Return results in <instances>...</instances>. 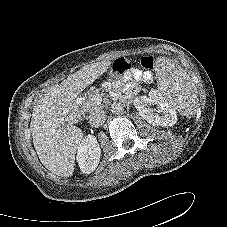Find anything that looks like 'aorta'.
Masks as SVG:
<instances>
[{
	"label": "aorta",
	"mask_w": 227,
	"mask_h": 227,
	"mask_svg": "<svg viewBox=\"0 0 227 227\" xmlns=\"http://www.w3.org/2000/svg\"><path fill=\"white\" fill-rule=\"evenodd\" d=\"M124 110V106L122 103L120 102H114L113 104H111V112L114 114H120L122 113Z\"/></svg>",
	"instance_id": "762f6f07"
}]
</instances>
